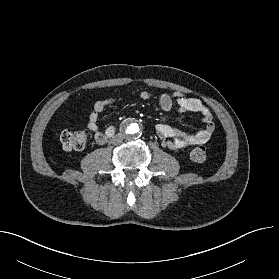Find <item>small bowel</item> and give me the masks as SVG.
I'll return each mask as SVG.
<instances>
[{
	"mask_svg": "<svg viewBox=\"0 0 279 279\" xmlns=\"http://www.w3.org/2000/svg\"><path fill=\"white\" fill-rule=\"evenodd\" d=\"M149 92H142V99H149ZM158 101L161 109L165 112L172 110L176 105L177 112L183 113H198L202 117L205 127L195 133H185L181 130L166 124L159 123L155 130L157 135L162 139L164 146L171 150L178 151L195 145L205 144L210 140L214 133L215 125L213 115L208 107L197 98L187 97L181 92L161 93L158 95ZM115 103L112 98L101 99L95 102L92 112L88 117L87 126L93 132L94 139L97 143L103 144L107 140V131L103 132L99 126L100 114L109 106Z\"/></svg>",
	"mask_w": 279,
	"mask_h": 279,
	"instance_id": "small-bowel-1",
	"label": "small bowel"
}]
</instances>
